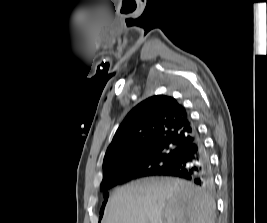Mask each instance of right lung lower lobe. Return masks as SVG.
<instances>
[{
    "instance_id": "1",
    "label": "right lung lower lobe",
    "mask_w": 267,
    "mask_h": 223,
    "mask_svg": "<svg viewBox=\"0 0 267 223\" xmlns=\"http://www.w3.org/2000/svg\"><path fill=\"white\" fill-rule=\"evenodd\" d=\"M146 176L178 177L189 180L204 188H211L213 183L209 156L198 134L195 141L181 151L179 157L167 169L155 174L133 171L112 176L104 182L101 188L107 190L129 180Z\"/></svg>"
}]
</instances>
